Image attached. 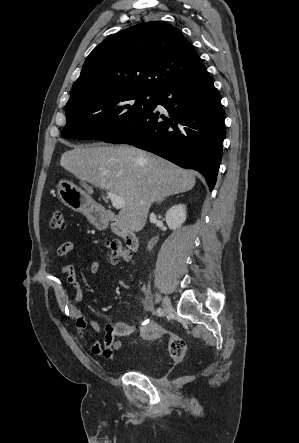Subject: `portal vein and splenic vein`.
<instances>
[{
    "mask_svg": "<svg viewBox=\"0 0 299 443\" xmlns=\"http://www.w3.org/2000/svg\"><path fill=\"white\" fill-rule=\"evenodd\" d=\"M105 190H106L107 196L111 200V203H112L113 207L116 208V209H122L124 207V205H125L124 199L121 196L116 195V194L108 191L107 189H105Z\"/></svg>",
    "mask_w": 299,
    "mask_h": 443,
    "instance_id": "portal-vein-and-splenic-vein-1",
    "label": "portal vein and splenic vein"
}]
</instances>
